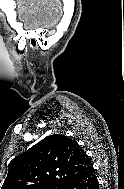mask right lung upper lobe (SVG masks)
Listing matches in <instances>:
<instances>
[{
  "mask_svg": "<svg viewBox=\"0 0 124 189\" xmlns=\"http://www.w3.org/2000/svg\"><path fill=\"white\" fill-rule=\"evenodd\" d=\"M90 165L89 157L75 140L60 134L51 135L11 160L1 189L64 186Z\"/></svg>",
  "mask_w": 124,
  "mask_h": 189,
  "instance_id": "1",
  "label": "right lung upper lobe"
}]
</instances>
